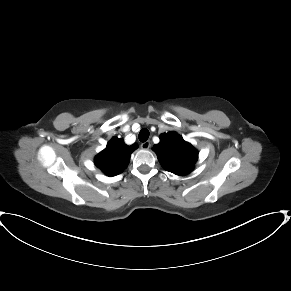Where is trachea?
<instances>
[{
    "instance_id": "1",
    "label": "trachea",
    "mask_w": 291,
    "mask_h": 291,
    "mask_svg": "<svg viewBox=\"0 0 291 291\" xmlns=\"http://www.w3.org/2000/svg\"><path fill=\"white\" fill-rule=\"evenodd\" d=\"M138 138L141 142L147 141L149 138V131L146 128L142 129L138 135Z\"/></svg>"
}]
</instances>
